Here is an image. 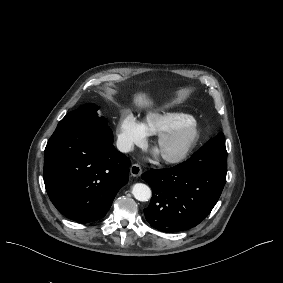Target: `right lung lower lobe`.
Returning a JSON list of instances; mask_svg holds the SVG:
<instances>
[{
    "mask_svg": "<svg viewBox=\"0 0 283 283\" xmlns=\"http://www.w3.org/2000/svg\"><path fill=\"white\" fill-rule=\"evenodd\" d=\"M131 162L113 146L110 128H56L44 152V182L57 210L80 223L103 218L128 182Z\"/></svg>",
    "mask_w": 283,
    "mask_h": 283,
    "instance_id": "98d812e1",
    "label": "right lung lower lobe"
}]
</instances>
